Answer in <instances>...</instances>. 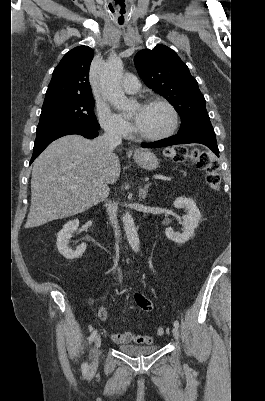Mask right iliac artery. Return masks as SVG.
<instances>
[{"label":"right iliac artery","mask_w":265,"mask_h":401,"mask_svg":"<svg viewBox=\"0 0 265 401\" xmlns=\"http://www.w3.org/2000/svg\"><path fill=\"white\" fill-rule=\"evenodd\" d=\"M96 335H97V330H94V331L91 333L90 337H89V342H90V343L93 342V340L95 339ZM87 369H88V363H87V362H84V363L82 364V373H83V374H86V373H87Z\"/></svg>","instance_id":"right-iliac-artery-1"}]
</instances>
